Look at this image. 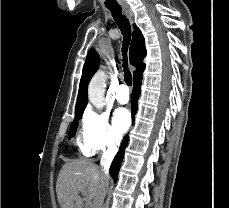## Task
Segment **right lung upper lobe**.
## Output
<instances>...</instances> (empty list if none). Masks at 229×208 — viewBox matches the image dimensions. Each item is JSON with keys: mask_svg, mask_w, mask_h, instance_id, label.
Masks as SVG:
<instances>
[{"mask_svg": "<svg viewBox=\"0 0 229 208\" xmlns=\"http://www.w3.org/2000/svg\"><path fill=\"white\" fill-rule=\"evenodd\" d=\"M136 28V25H133ZM130 63L136 70L133 72V76L136 77L143 73L145 69V64L143 63V59L146 56V48L144 37L139 28H136L133 32V39L130 46ZM100 57L95 49H91L86 57V61L83 67V73L80 80L79 93L77 97V104L75 109V119L79 120L82 117L83 111L88 102L87 96V87L88 83L96 72L99 66Z\"/></svg>", "mask_w": 229, "mask_h": 208, "instance_id": "cb5924a9", "label": "right lung upper lobe"}]
</instances>
